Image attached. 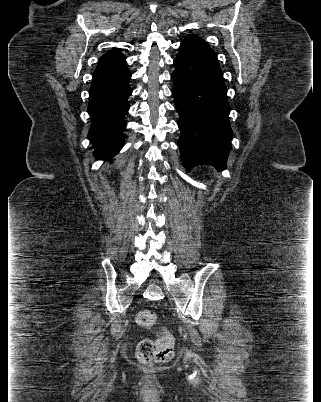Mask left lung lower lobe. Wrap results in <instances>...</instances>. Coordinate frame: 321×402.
Returning a JSON list of instances; mask_svg holds the SVG:
<instances>
[{
	"label": "left lung lower lobe",
	"instance_id": "left-lung-lower-lobe-1",
	"mask_svg": "<svg viewBox=\"0 0 321 402\" xmlns=\"http://www.w3.org/2000/svg\"><path fill=\"white\" fill-rule=\"evenodd\" d=\"M173 95L179 113L178 140L187 170L201 165L226 168L231 149L230 106L216 53L199 39H184L174 59Z\"/></svg>",
	"mask_w": 321,
	"mask_h": 402
}]
</instances>
